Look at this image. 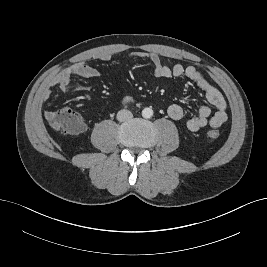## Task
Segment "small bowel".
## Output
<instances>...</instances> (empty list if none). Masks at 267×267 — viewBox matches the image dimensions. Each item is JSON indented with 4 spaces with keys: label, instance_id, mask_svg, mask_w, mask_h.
<instances>
[{
    "label": "small bowel",
    "instance_id": "small-bowel-1",
    "mask_svg": "<svg viewBox=\"0 0 267 267\" xmlns=\"http://www.w3.org/2000/svg\"><path fill=\"white\" fill-rule=\"evenodd\" d=\"M129 57L134 59L138 58L149 60L154 67V75L157 78L186 77L204 92L208 104L201 105L198 113L186 120V127L190 131H198L207 125L217 128L227 120V103L223 95L216 87L211 85L204 78V76L196 67H185L181 64H175L174 66L170 67L164 64L157 54L144 51L132 52L129 54ZM99 59L109 61L112 59V55L107 53L101 54ZM74 76L81 78H94L99 76V71L85 62H77L58 73L53 78L51 85L56 86L61 93L86 90L87 86L72 83L71 80ZM50 95L51 92L46 90L43 92L42 98L47 100L50 98ZM133 101L134 99L130 95H125L122 98L123 104H129ZM212 107L214 108L213 114ZM53 113L54 111L48 110L44 112V116L49 121ZM167 113L173 120H180L184 116V110L178 104L169 105L167 108Z\"/></svg>",
    "mask_w": 267,
    "mask_h": 267
}]
</instances>
